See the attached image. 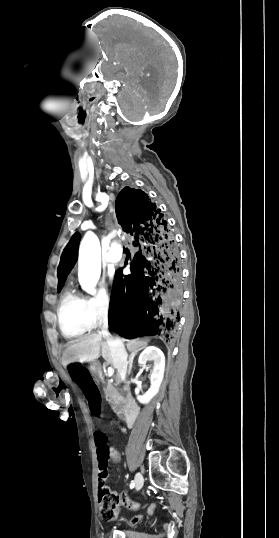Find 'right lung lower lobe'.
<instances>
[{
    "instance_id": "right-lung-lower-lobe-1",
    "label": "right lung lower lobe",
    "mask_w": 279,
    "mask_h": 538,
    "mask_svg": "<svg viewBox=\"0 0 279 538\" xmlns=\"http://www.w3.org/2000/svg\"><path fill=\"white\" fill-rule=\"evenodd\" d=\"M115 210L137 252L130 264L131 274L123 276L122 268L116 272L109 324L125 336L170 333L183 307L180 253L173 233L142 190L125 187Z\"/></svg>"
}]
</instances>
